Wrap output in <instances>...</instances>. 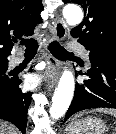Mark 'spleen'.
I'll return each mask as SVG.
<instances>
[{
  "label": "spleen",
  "mask_w": 116,
  "mask_h": 134,
  "mask_svg": "<svg viewBox=\"0 0 116 134\" xmlns=\"http://www.w3.org/2000/svg\"><path fill=\"white\" fill-rule=\"evenodd\" d=\"M97 111L104 112V113H107V114H111L112 116L116 117V110H112V109H98Z\"/></svg>",
  "instance_id": "spleen-1"
}]
</instances>
